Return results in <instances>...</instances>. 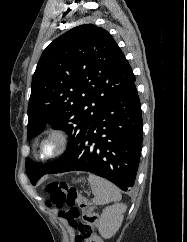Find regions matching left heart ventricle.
<instances>
[{"label": "left heart ventricle", "instance_id": "left-heart-ventricle-1", "mask_svg": "<svg viewBox=\"0 0 187 242\" xmlns=\"http://www.w3.org/2000/svg\"><path fill=\"white\" fill-rule=\"evenodd\" d=\"M56 150V142L53 140L47 141L43 146V152L45 154H51Z\"/></svg>", "mask_w": 187, "mask_h": 242}]
</instances>
